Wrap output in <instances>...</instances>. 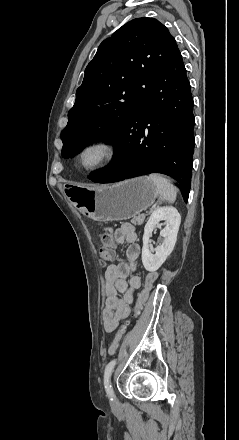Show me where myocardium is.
Here are the masks:
<instances>
[{
  "mask_svg": "<svg viewBox=\"0 0 239 440\" xmlns=\"http://www.w3.org/2000/svg\"><path fill=\"white\" fill-rule=\"evenodd\" d=\"M93 149H98L102 152L99 162L91 167L83 165L85 154ZM119 146L117 142L110 137H96L85 142L77 154V166L85 173H95L101 171L112 164L118 156Z\"/></svg>",
  "mask_w": 239,
  "mask_h": 440,
  "instance_id": "f54148a6",
  "label": "myocardium"
}]
</instances>
